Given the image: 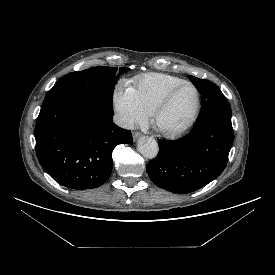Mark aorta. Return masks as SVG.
<instances>
[{"mask_svg": "<svg viewBox=\"0 0 275 275\" xmlns=\"http://www.w3.org/2000/svg\"><path fill=\"white\" fill-rule=\"evenodd\" d=\"M138 151L146 158L153 159L157 156L159 148L155 139L152 137H142L137 144Z\"/></svg>", "mask_w": 275, "mask_h": 275, "instance_id": "obj_1", "label": "aorta"}]
</instances>
